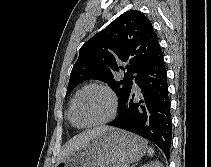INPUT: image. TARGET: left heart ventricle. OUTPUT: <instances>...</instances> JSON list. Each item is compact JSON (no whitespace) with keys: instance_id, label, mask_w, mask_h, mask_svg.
<instances>
[{"instance_id":"b2bd125f","label":"left heart ventricle","mask_w":211,"mask_h":167,"mask_svg":"<svg viewBox=\"0 0 211 167\" xmlns=\"http://www.w3.org/2000/svg\"><path fill=\"white\" fill-rule=\"evenodd\" d=\"M111 112V101L106 92L89 89L82 93L74 106V118L81 124L105 119Z\"/></svg>"}]
</instances>
